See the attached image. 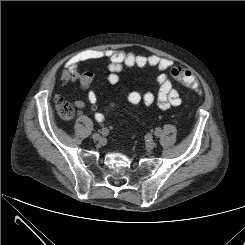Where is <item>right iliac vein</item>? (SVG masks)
I'll return each instance as SVG.
<instances>
[{
  "label": "right iliac vein",
  "instance_id": "obj_1",
  "mask_svg": "<svg viewBox=\"0 0 245 245\" xmlns=\"http://www.w3.org/2000/svg\"><path fill=\"white\" fill-rule=\"evenodd\" d=\"M92 138H93V140H95V141H101V140L103 139L98 133H94V134L92 135Z\"/></svg>",
  "mask_w": 245,
  "mask_h": 245
}]
</instances>
